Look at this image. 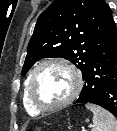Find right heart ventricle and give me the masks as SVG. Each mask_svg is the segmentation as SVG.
I'll return each instance as SVG.
<instances>
[{"instance_id": "obj_1", "label": "right heart ventricle", "mask_w": 117, "mask_h": 131, "mask_svg": "<svg viewBox=\"0 0 117 131\" xmlns=\"http://www.w3.org/2000/svg\"><path fill=\"white\" fill-rule=\"evenodd\" d=\"M29 77H30V75L24 81L23 90H22V102H23V106H24L26 112L31 116H36V115L40 114V111H38L32 105V103L30 102V99L28 97L27 85H28Z\"/></svg>"}]
</instances>
